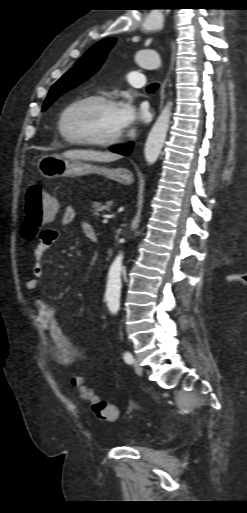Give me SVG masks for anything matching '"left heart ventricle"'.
I'll list each match as a JSON object with an SVG mask.
<instances>
[{
  "mask_svg": "<svg viewBox=\"0 0 247 513\" xmlns=\"http://www.w3.org/2000/svg\"><path fill=\"white\" fill-rule=\"evenodd\" d=\"M65 131L73 137L104 139L122 131L117 105L85 102L74 106L66 115Z\"/></svg>",
  "mask_w": 247,
  "mask_h": 513,
  "instance_id": "b2bd125f",
  "label": "left heart ventricle"
}]
</instances>
